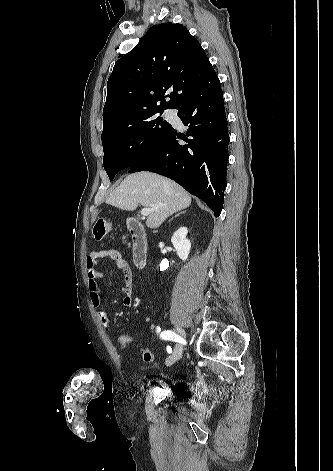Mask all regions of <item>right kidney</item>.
<instances>
[{
  "mask_svg": "<svg viewBox=\"0 0 333 471\" xmlns=\"http://www.w3.org/2000/svg\"><path fill=\"white\" fill-rule=\"evenodd\" d=\"M188 230L186 227L179 228L172 236L171 242L176 248L177 254L182 261H185L188 258L191 243L186 239Z\"/></svg>",
  "mask_w": 333,
  "mask_h": 471,
  "instance_id": "right-kidney-1",
  "label": "right kidney"
}]
</instances>
